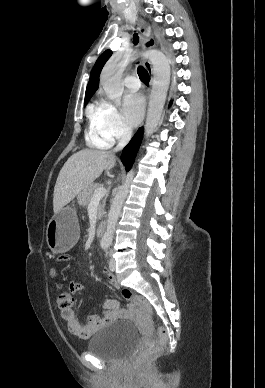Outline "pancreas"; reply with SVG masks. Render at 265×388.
I'll return each instance as SVG.
<instances>
[{
	"label": "pancreas",
	"instance_id": "1",
	"mask_svg": "<svg viewBox=\"0 0 265 388\" xmlns=\"http://www.w3.org/2000/svg\"><path fill=\"white\" fill-rule=\"evenodd\" d=\"M100 186L101 184H94V182L93 184H89V186H86V188H84V190H82V192H80V194H78L77 196L79 206H88L94 194V190H97V188H100ZM105 204H106V198H104V200H101V204H99L98 206L97 220H101V218H103L105 214L104 212Z\"/></svg>",
	"mask_w": 265,
	"mask_h": 388
}]
</instances>
